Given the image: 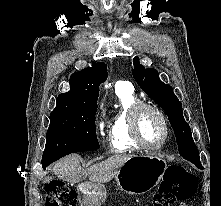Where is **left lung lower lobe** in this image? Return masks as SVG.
Segmentation results:
<instances>
[{
	"instance_id": "1",
	"label": "left lung lower lobe",
	"mask_w": 221,
	"mask_h": 206,
	"mask_svg": "<svg viewBox=\"0 0 221 206\" xmlns=\"http://www.w3.org/2000/svg\"><path fill=\"white\" fill-rule=\"evenodd\" d=\"M196 166H197V167H201V163H199V164H196Z\"/></svg>"
}]
</instances>
